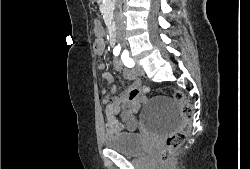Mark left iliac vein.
<instances>
[{
    "label": "left iliac vein",
    "mask_w": 250,
    "mask_h": 169,
    "mask_svg": "<svg viewBox=\"0 0 250 169\" xmlns=\"http://www.w3.org/2000/svg\"><path fill=\"white\" fill-rule=\"evenodd\" d=\"M132 71L137 76H143L144 75V70L142 69L141 65L137 61H135V67L132 69Z\"/></svg>",
    "instance_id": "1"
}]
</instances>
